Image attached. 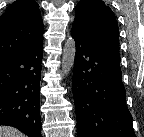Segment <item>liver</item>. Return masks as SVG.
<instances>
[{
	"instance_id": "liver-1",
	"label": "liver",
	"mask_w": 144,
	"mask_h": 137,
	"mask_svg": "<svg viewBox=\"0 0 144 137\" xmlns=\"http://www.w3.org/2000/svg\"><path fill=\"white\" fill-rule=\"evenodd\" d=\"M0 137H25L23 133L10 126H0Z\"/></svg>"
}]
</instances>
